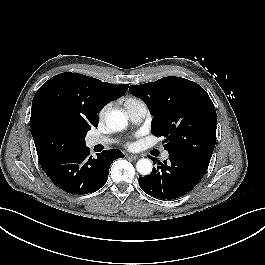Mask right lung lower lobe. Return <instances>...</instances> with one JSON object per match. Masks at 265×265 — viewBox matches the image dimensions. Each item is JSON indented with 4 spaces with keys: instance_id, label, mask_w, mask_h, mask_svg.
Listing matches in <instances>:
<instances>
[{
    "instance_id": "right-lung-lower-lobe-1",
    "label": "right lung lower lobe",
    "mask_w": 265,
    "mask_h": 265,
    "mask_svg": "<svg viewBox=\"0 0 265 265\" xmlns=\"http://www.w3.org/2000/svg\"><path fill=\"white\" fill-rule=\"evenodd\" d=\"M123 157L118 150H105L92 158L89 148L84 146L39 161L43 171L59 188L72 194H87L106 183L110 165Z\"/></svg>"
}]
</instances>
